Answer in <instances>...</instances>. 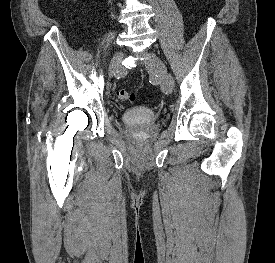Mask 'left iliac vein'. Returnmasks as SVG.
<instances>
[{
	"label": "left iliac vein",
	"mask_w": 275,
	"mask_h": 263,
	"mask_svg": "<svg viewBox=\"0 0 275 263\" xmlns=\"http://www.w3.org/2000/svg\"><path fill=\"white\" fill-rule=\"evenodd\" d=\"M144 56L147 58L145 64L148 72L157 77L162 91L165 94H170L173 85L170 81L166 65L154 53L145 52Z\"/></svg>",
	"instance_id": "obj_1"
}]
</instances>
